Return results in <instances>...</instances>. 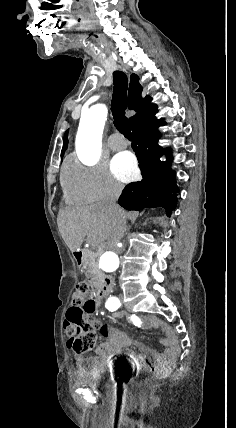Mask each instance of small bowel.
Segmentation results:
<instances>
[{"label": "small bowel", "instance_id": "small-bowel-1", "mask_svg": "<svg viewBox=\"0 0 236 428\" xmlns=\"http://www.w3.org/2000/svg\"><path fill=\"white\" fill-rule=\"evenodd\" d=\"M111 316L115 319H126L140 328L159 329L164 335L162 342L166 349L163 353H157L146 344L133 341L123 330L93 320L94 325L99 328L101 335L108 339L97 347L96 354L99 357L110 360L121 354L123 348L131 347L137 351V353L132 350L126 352L131 363L140 367L152 359L156 368L163 369L167 367L177 355L179 346L174 331L169 325L156 317H139L130 315L126 312H112ZM75 359L79 365H82L84 359L81 355L77 354Z\"/></svg>", "mask_w": 236, "mask_h": 428}]
</instances>
